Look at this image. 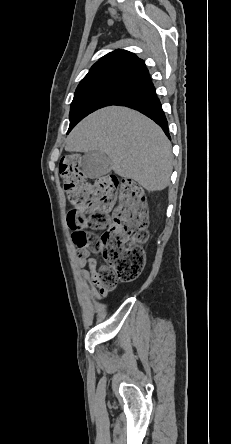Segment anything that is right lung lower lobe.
I'll use <instances>...</instances> for the list:
<instances>
[{"label":"right lung lower lobe","mask_w":231,"mask_h":444,"mask_svg":"<svg viewBox=\"0 0 231 444\" xmlns=\"http://www.w3.org/2000/svg\"><path fill=\"white\" fill-rule=\"evenodd\" d=\"M112 105L127 106L145 114L154 120L170 138L168 123L152 82L127 92Z\"/></svg>","instance_id":"obj_1"}]
</instances>
